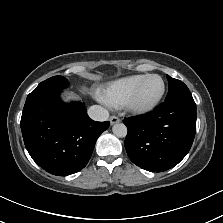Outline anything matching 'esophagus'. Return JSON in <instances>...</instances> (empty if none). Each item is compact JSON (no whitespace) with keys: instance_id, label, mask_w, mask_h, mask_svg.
Returning a JSON list of instances; mask_svg holds the SVG:
<instances>
[{"instance_id":"34e87169","label":"esophagus","mask_w":223,"mask_h":223,"mask_svg":"<svg viewBox=\"0 0 223 223\" xmlns=\"http://www.w3.org/2000/svg\"><path fill=\"white\" fill-rule=\"evenodd\" d=\"M109 120H110L111 125H114L115 123L120 122V118H118L117 116H111Z\"/></svg>"}]
</instances>
